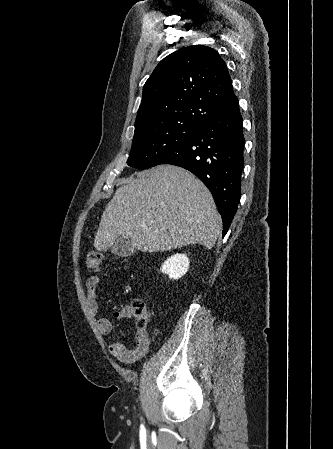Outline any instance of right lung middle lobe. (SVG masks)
<instances>
[{
    "label": "right lung middle lobe",
    "instance_id": "dd1d6c3e",
    "mask_svg": "<svg viewBox=\"0 0 333 449\" xmlns=\"http://www.w3.org/2000/svg\"><path fill=\"white\" fill-rule=\"evenodd\" d=\"M200 127L190 122L169 123L134 136L127 164L137 169L158 165Z\"/></svg>",
    "mask_w": 333,
    "mask_h": 449
}]
</instances>
